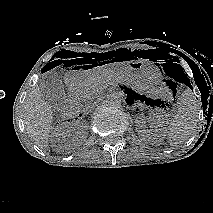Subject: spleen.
I'll list each match as a JSON object with an SVG mask.
<instances>
[{"mask_svg": "<svg viewBox=\"0 0 213 213\" xmlns=\"http://www.w3.org/2000/svg\"><path fill=\"white\" fill-rule=\"evenodd\" d=\"M201 104L190 89H186L178 99L176 114L170 123L167 140L170 146L186 141L194 132Z\"/></svg>", "mask_w": 213, "mask_h": 213, "instance_id": "obj_1", "label": "spleen"}]
</instances>
